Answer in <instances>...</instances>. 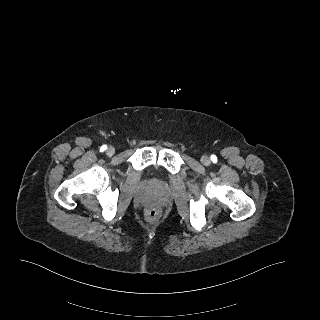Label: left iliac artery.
I'll use <instances>...</instances> for the list:
<instances>
[{"label":"left iliac artery","instance_id":"1","mask_svg":"<svg viewBox=\"0 0 320 320\" xmlns=\"http://www.w3.org/2000/svg\"><path fill=\"white\" fill-rule=\"evenodd\" d=\"M211 160L212 161H216V156L215 155H211Z\"/></svg>","mask_w":320,"mask_h":320}]
</instances>
